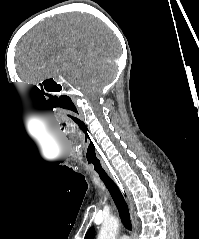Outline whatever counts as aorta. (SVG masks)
I'll use <instances>...</instances> for the list:
<instances>
[{"label": "aorta", "mask_w": 199, "mask_h": 239, "mask_svg": "<svg viewBox=\"0 0 199 239\" xmlns=\"http://www.w3.org/2000/svg\"><path fill=\"white\" fill-rule=\"evenodd\" d=\"M119 227V221L116 217L106 218L101 226L97 239H116Z\"/></svg>", "instance_id": "1"}]
</instances>
